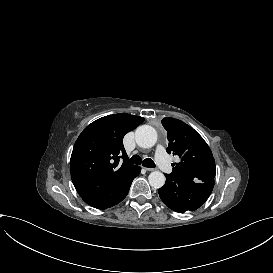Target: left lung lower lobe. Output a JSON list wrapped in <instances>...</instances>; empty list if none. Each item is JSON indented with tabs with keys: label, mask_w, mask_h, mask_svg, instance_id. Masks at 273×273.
Returning a JSON list of instances; mask_svg holds the SVG:
<instances>
[{
	"label": "left lung lower lobe",
	"mask_w": 273,
	"mask_h": 273,
	"mask_svg": "<svg viewBox=\"0 0 273 273\" xmlns=\"http://www.w3.org/2000/svg\"><path fill=\"white\" fill-rule=\"evenodd\" d=\"M165 176L166 182L158 190L159 196L164 204L179 213L198 209L214 187V181L196 182L173 173Z\"/></svg>",
	"instance_id": "1"
}]
</instances>
